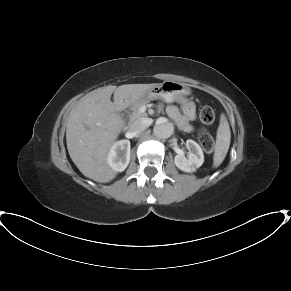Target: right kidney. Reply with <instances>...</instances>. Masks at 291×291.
I'll use <instances>...</instances> for the list:
<instances>
[{
  "mask_svg": "<svg viewBox=\"0 0 291 291\" xmlns=\"http://www.w3.org/2000/svg\"><path fill=\"white\" fill-rule=\"evenodd\" d=\"M130 141L120 140L113 144L107 156L109 166L116 172L124 171L130 162Z\"/></svg>",
  "mask_w": 291,
  "mask_h": 291,
  "instance_id": "ca27d5eb",
  "label": "right kidney"
}]
</instances>
